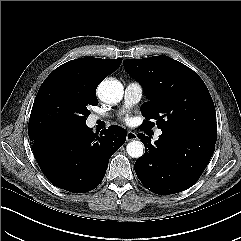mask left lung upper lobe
Segmentation results:
<instances>
[{
    "instance_id": "obj_1",
    "label": "left lung upper lobe",
    "mask_w": 241,
    "mask_h": 241,
    "mask_svg": "<svg viewBox=\"0 0 241 241\" xmlns=\"http://www.w3.org/2000/svg\"><path fill=\"white\" fill-rule=\"evenodd\" d=\"M126 71L144 88L148 102L141 106L146 121L141 128L180 129L217 135L211 95L200 76L184 64L164 55L126 59Z\"/></svg>"
}]
</instances>
